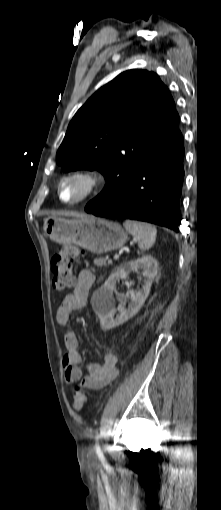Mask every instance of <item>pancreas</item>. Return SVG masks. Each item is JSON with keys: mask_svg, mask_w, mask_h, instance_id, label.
<instances>
[{"mask_svg": "<svg viewBox=\"0 0 221 510\" xmlns=\"http://www.w3.org/2000/svg\"><path fill=\"white\" fill-rule=\"evenodd\" d=\"M94 264L98 267L106 266V259L104 258H98L94 260Z\"/></svg>", "mask_w": 221, "mask_h": 510, "instance_id": "cf45deb5", "label": "pancreas"}]
</instances>
